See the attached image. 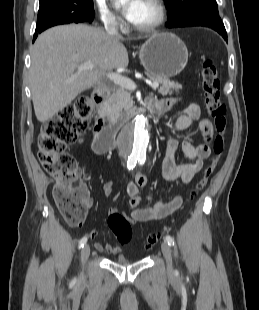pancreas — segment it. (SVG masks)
I'll return each instance as SVG.
<instances>
[{
  "label": "pancreas",
  "instance_id": "pancreas-1",
  "mask_svg": "<svg viewBox=\"0 0 259 310\" xmlns=\"http://www.w3.org/2000/svg\"><path fill=\"white\" fill-rule=\"evenodd\" d=\"M149 78L153 82L161 84L158 92L163 96L167 94L172 95L182 88L181 84L170 81L167 78L154 76H149ZM132 108L133 99L131 98L130 92L120 86L116 88V91L112 93L106 102V116L111 123L125 121L129 118V113Z\"/></svg>",
  "mask_w": 259,
  "mask_h": 310
}]
</instances>
